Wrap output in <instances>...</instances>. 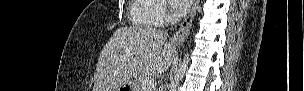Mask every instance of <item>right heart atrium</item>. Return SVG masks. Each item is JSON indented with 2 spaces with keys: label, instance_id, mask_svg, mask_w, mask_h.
I'll list each match as a JSON object with an SVG mask.
<instances>
[{
  "label": "right heart atrium",
  "instance_id": "right-heart-atrium-1",
  "mask_svg": "<svg viewBox=\"0 0 304 91\" xmlns=\"http://www.w3.org/2000/svg\"><path fill=\"white\" fill-rule=\"evenodd\" d=\"M170 16L169 10L165 6H159V10L156 14L155 21L156 23H162L168 20Z\"/></svg>",
  "mask_w": 304,
  "mask_h": 91
}]
</instances>
